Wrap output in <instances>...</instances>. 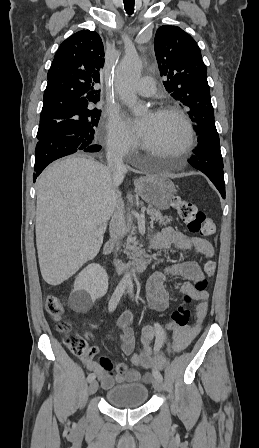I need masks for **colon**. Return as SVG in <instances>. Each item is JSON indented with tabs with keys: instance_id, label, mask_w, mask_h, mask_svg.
Masks as SVG:
<instances>
[{
	"instance_id": "obj_1",
	"label": "colon",
	"mask_w": 259,
	"mask_h": 448,
	"mask_svg": "<svg viewBox=\"0 0 259 448\" xmlns=\"http://www.w3.org/2000/svg\"><path fill=\"white\" fill-rule=\"evenodd\" d=\"M173 207L191 232L202 236H214L216 234L217 227L214 221L200 211L194 203L176 196L173 198ZM215 267V262L212 260L205 263L204 272L206 277L196 282L195 288L197 290H205L208 278L215 274ZM190 299V295L186 294L183 298V304L172 312L171 320L168 323L171 328H182L188 325L190 311L186 304ZM45 309L49 316L56 321L57 330L66 335L65 344L68 349L76 356L82 357L87 355L90 349L86 340L78 334L71 333L69 323L64 320L65 305L63 301L55 295H49L45 301ZM131 361L135 365L140 364L141 355L133 354Z\"/></svg>"
}]
</instances>
